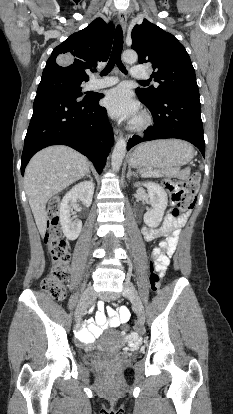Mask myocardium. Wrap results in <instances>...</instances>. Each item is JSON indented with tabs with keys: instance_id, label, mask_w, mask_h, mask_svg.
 Listing matches in <instances>:
<instances>
[{
	"instance_id": "1",
	"label": "myocardium",
	"mask_w": 233,
	"mask_h": 414,
	"mask_svg": "<svg viewBox=\"0 0 233 414\" xmlns=\"http://www.w3.org/2000/svg\"><path fill=\"white\" fill-rule=\"evenodd\" d=\"M151 121L148 113H142L131 123V128L135 131H142L151 124Z\"/></svg>"
}]
</instances>
